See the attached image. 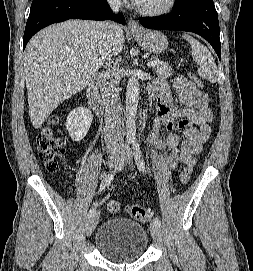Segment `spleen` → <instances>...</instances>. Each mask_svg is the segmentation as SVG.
Masks as SVG:
<instances>
[{"label": "spleen", "instance_id": "3e777b00", "mask_svg": "<svg viewBox=\"0 0 253 271\" xmlns=\"http://www.w3.org/2000/svg\"><path fill=\"white\" fill-rule=\"evenodd\" d=\"M182 37L186 39L192 49V57L194 61L198 64V74L202 78L215 83L218 77L217 66L210 53V51L202 45L198 40L194 39L188 34H183Z\"/></svg>", "mask_w": 253, "mask_h": 271}]
</instances>
